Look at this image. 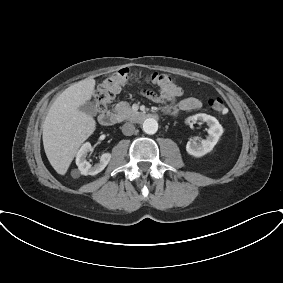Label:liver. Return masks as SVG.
I'll use <instances>...</instances> for the list:
<instances>
[{"label":"liver","mask_w":283,"mask_h":283,"mask_svg":"<svg viewBox=\"0 0 283 283\" xmlns=\"http://www.w3.org/2000/svg\"><path fill=\"white\" fill-rule=\"evenodd\" d=\"M91 77L74 83L52 104L43 124V145L46 156L60 174L65 175L79 147L95 131L91 115L79 109L94 93Z\"/></svg>","instance_id":"obj_1"}]
</instances>
